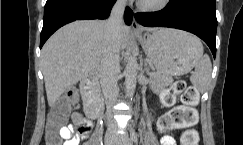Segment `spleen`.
<instances>
[{
  "label": "spleen",
  "instance_id": "3e777b00",
  "mask_svg": "<svg viewBox=\"0 0 243 145\" xmlns=\"http://www.w3.org/2000/svg\"><path fill=\"white\" fill-rule=\"evenodd\" d=\"M202 53L195 64V72L190 81L200 92H205L211 79L212 64L209 56Z\"/></svg>",
  "mask_w": 243,
  "mask_h": 145
}]
</instances>
